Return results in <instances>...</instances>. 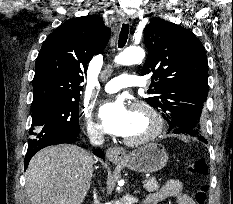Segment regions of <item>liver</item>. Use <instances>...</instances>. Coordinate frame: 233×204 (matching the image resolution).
Here are the masks:
<instances>
[{
	"label": "liver",
	"mask_w": 233,
	"mask_h": 204,
	"mask_svg": "<svg viewBox=\"0 0 233 204\" xmlns=\"http://www.w3.org/2000/svg\"><path fill=\"white\" fill-rule=\"evenodd\" d=\"M94 160L70 144L46 147L36 153L26 170V192L31 204H81L90 188Z\"/></svg>",
	"instance_id": "obj_1"
}]
</instances>
